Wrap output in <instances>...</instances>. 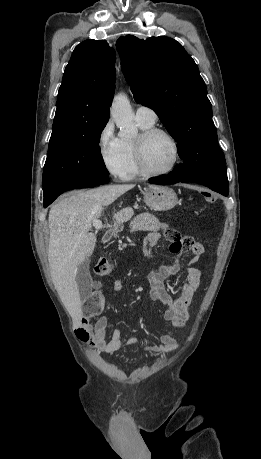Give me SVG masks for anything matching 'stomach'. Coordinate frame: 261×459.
Instances as JSON below:
<instances>
[{
  "mask_svg": "<svg viewBox=\"0 0 261 459\" xmlns=\"http://www.w3.org/2000/svg\"><path fill=\"white\" fill-rule=\"evenodd\" d=\"M144 202L153 211H169L178 203L175 191L168 186H148L144 191Z\"/></svg>",
  "mask_w": 261,
  "mask_h": 459,
  "instance_id": "1",
  "label": "stomach"
}]
</instances>
